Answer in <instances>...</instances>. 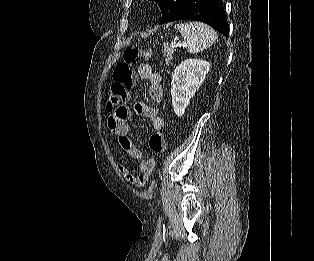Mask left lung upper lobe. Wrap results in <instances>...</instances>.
<instances>
[{"mask_svg": "<svg viewBox=\"0 0 314 261\" xmlns=\"http://www.w3.org/2000/svg\"><path fill=\"white\" fill-rule=\"evenodd\" d=\"M162 11L160 24L167 23L175 15L184 0H155Z\"/></svg>", "mask_w": 314, "mask_h": 261, "instance_id": "1", "label": "left lung upper lobe"}]
</instances>
